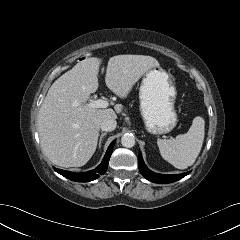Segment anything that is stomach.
I'll list each match as a JSON object with an SVG mask.
<instances>
[{"mask_svg":"<svg viewBox=\"0 0 240 240\" xmlns=\"http://www.w3.org/2000/svg\"><path fill=\"white\" fill-rule=\"evenodd\" d=\"M176 88L160 66L149 69L139 89L140 112L146 130L151 134H166L177 123Z\"/></svg>","mask_w":240,"mask_h":240,"instance_id":"obj_1","label":"stomach"}]
</instances>
